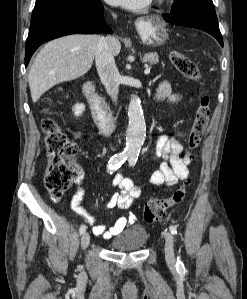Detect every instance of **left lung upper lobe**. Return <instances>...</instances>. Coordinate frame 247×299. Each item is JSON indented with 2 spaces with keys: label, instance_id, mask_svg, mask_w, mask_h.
Masks as SVG:
<instances>
[{
  "label": "left lung upper lobe",
  "instance_id": "1",
  "mask_svg": "<svg viewBox=\"0 0 247 299\" xmlns=\"http://www.w3.org/2000/svg\"><path fill=\"white\" fill-rule=\"evenodd\" d=\"M189 4H196L207 9L215 10L212 0H174L171 11H176Z\"/></svg>",
  "mask_w": 247,
  "mask_h": 299
}]
</instances>
